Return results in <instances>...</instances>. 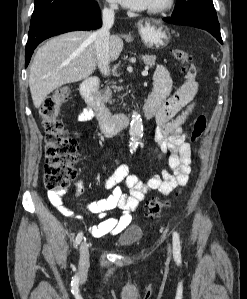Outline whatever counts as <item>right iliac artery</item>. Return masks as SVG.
<instances>
[{
    "label": "right iliac artery",
    "mask_w": 247,
    "mask_h": 299,
    "mask_svg": "<svg viewBox=\"0 0 247 299\" xmlns=\"http://www.w3.org/2000/svg\"><path fill=\"white\" fill-rule=\"evenodd\" d=\"M82 238H83V233L82 232L78 233L77 236H76V239H75L76 247L80 244Z\"/></svg>",
    "instance_id": "1"
}]
</instances>
